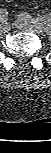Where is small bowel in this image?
Returning <instances> with one entry per match:
<instances>
[{"instance_id": "small-bowel-1", "label": "small bowel", "mask_w": 51, "mask_h": 153, "mask_svg": "<svg viewBox=\"0 0 51 153\" xmlns=\"http://www.w3.org/2000/svg\"><path fill=\"white\" fill-rule=\"evenodd\" d=\"M6 2L10 3V2H13L14 0H5Z\"/></svg>"}]
</instances>
